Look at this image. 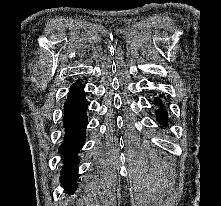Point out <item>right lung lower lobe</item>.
Listing matches in <instances>:
<instances>
[{
  "label": "right lung lower lobe",
  "mask_w": 221,
  "mask_h": 206,
  "mask_svg": "<svg viewBox=\"0 0 221 206\" xmlns=\"http://www.w3.org/2000/svg\"><path fill=\"white\" fill-rule=\"evenodd\" d=\"M87 106L84 86L79 82L74 83L64 103L65 136L59 148V153L64 156L61 181L69 193H73L77 187L76 179L79 176L77 154L85 142V129L88 123Z\"/></svg>",
  "instance_id": "obj_1"
}]
</instances>
